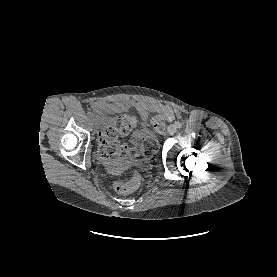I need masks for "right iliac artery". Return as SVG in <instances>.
Here are the masks:
<instances>
[{
  "label": "right iliac artery",
  "instance_id": "82829eb1",
  "mask_svg": "<svg viewBox=\"0 0 277 277\" xmlns=\"http://www.w3.org/2000/svg\"><path fill=\"white\" fill-rule=\"evenodd\" d=\"M87 115H88V118H89L92 122H95V118H94V115H93L92 112H88Z\"/></svg>",
  "mask_w": 277,
  "mask_h": 277
}]
</instances>
